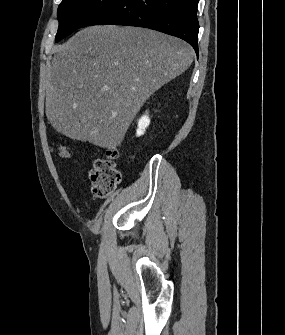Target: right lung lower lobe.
I'll use <instances>...</instances> for the list:
<instances>
[{
	"mask_svg": "<svg viewBox=\"0 0 285 335\" xmlns=\"http://www.w3.org/2000/svg\"><path fill=\"white\" fill-rule=\"evenodd\" d=\"M198 0H116L84 26L116 24L157 30L188 42L198 55Z\"/></svg>",
	"mask_w": 285,
	"mask_h": 335,
	"instance_id": "obj_1",
	"label": "right lung lower lobe"
}]
</instances>
